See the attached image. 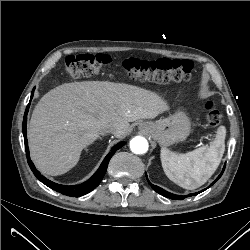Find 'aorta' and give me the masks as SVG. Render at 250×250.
<instances>
[{
    "label": "aorta",
    "mask_w": 250,
    "mask_h": 250,
    "mask_svg": "<svg viewBox=\"0 0 250 250\" xmlns=\"http://www.w3.org/2000/svg\"><path fill=\"white\" fill-rule=\"evenodd\" d=\"M148 142L144 137L136 136L130 141V149L135 154H144L148 151Z\"/></svg>",
    "instance_id": "obj_1"
}]
</instances>
